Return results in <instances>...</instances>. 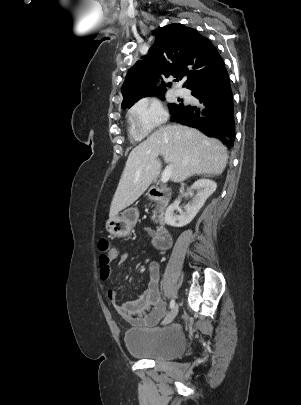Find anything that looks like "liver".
<instances>
[{
  "label": "liver",
  "instance_id": "1",
  "mask_svg": "<svg viewBox=\"0 0 301 405\" xmlns=\"http://www.w3.org/2000/svg\"><path fill=\"white\" fill-rule=\"evenodd\" d=\"M159 155L172 167L170 179L175 183L193 175H220L228 160L219 140L182 125L162 127L130 152L111 202L110 219L133 204L158 177Z\"/></svg>",
  "mask_w": 301,
  "mask_h": 405
}]
</instances>
